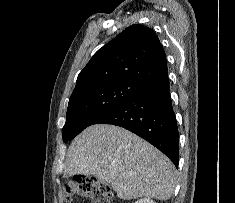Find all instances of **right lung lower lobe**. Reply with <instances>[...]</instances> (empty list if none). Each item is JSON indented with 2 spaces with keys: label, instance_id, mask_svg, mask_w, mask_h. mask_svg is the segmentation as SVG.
<instances>
[{
  "label": "right lung lower lobe",
  "instance_id": "right-lung-lower-lobe-1",
  "mask_svg": "<svg viewBox=\"0 0 235 203\" xmlns=\"http://www.w3.org/2000/svg\"><path fill=\"white\" fill-rule=\"evenodd\" d=\"M112 124L142 137L163 152L176 167L179 136L167 74L144 86L94 124Z\"/></svg>",
  "mask_w": 235,
  "mask_h": 203
}]
</instances>
